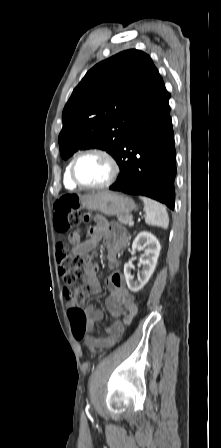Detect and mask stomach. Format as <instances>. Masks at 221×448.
Here are the masks:
<instances>
[{
	"label": "stomach",
	"instance_id": "obj_1",
	"mask_svg": "<svg viewBox=\"0 0 221 448\" xmlns=\"http://www.w3.org/2000/svg\"><path fill=\"white\" fill-rule=\"evenodd\" d=\"M81 203L89 210L99 211L108 216L130 215L136 208L131 198L111 191L84 196Z\"/></svg>",
	"mask_w": 221,
	"mask_h": 448
}]
</instances>
